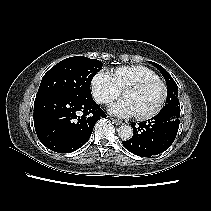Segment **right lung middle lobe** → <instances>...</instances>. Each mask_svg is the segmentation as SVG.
I'll return each instance as SVG.
<instances>
[{
  "mask_svg": "<svg viewBox=\"0 0 211 211\" xmlns=\"http://www.w3.org/2000/svg\"><path fill=\"white\" fill-rule=\"evenodd\" d=\"M102 66L99 60L83 56L64 59L43 76L36 98L45 96L92 98L90 84Z\"/></svg>",
  "mask_w": 211,
  "mask_h": 211,
  "instance_id": "1",
  "label": "right lung middle lobe"
}]
</instances>
